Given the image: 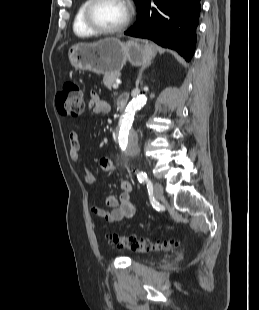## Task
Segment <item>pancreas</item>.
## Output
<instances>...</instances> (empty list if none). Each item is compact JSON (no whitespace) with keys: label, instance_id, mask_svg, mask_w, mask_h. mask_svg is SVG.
<instances>
[{"label":"pancreas","instance_id":"cf45deb5","mask_svg":"<svg viewBox=\"0 0 259 310\" xmlns=\"http://www.w3.org/2000/svg\"><path fill=\"white\" fill-rule=\"evenodd\" d=\"M118 77H119V74H105L103 78V84L108 89H111L112 85L115 83Z\"/></svg>","mask_w":259,"mask_h":310}]
</instances>
